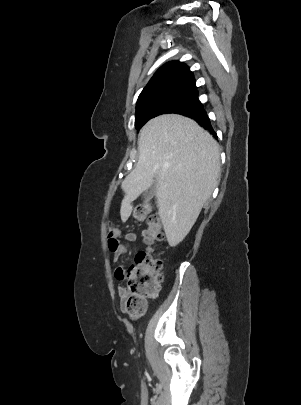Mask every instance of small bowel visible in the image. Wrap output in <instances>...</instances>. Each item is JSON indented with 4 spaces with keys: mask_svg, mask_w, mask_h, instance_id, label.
<instances>
[{
    "mask_svg": "<svg viewBox=\"0 0 301 405\" xmlns=\"http://www.w3.org/2000/svg\"><path fill=\"white\" fill-rule=\"evenodd\" d=\"M124 239L128 242H135L137 241V236L134 233H127L124 235ZM113 252V260L117 261L122 255L127 252V247L118 241L117 247L112 251ZM127 271L124 266H118L115 270V277L118 280H124L126 277ZM126 293L125 287L121 286L118 288V295L121 299L124 298Z\"/></svg>",
    "mask_w": 301,
    "mask_h": 405,
    "instance_id": "small-bowel-1",
    "label": "small bowel"
}]
</instances>
